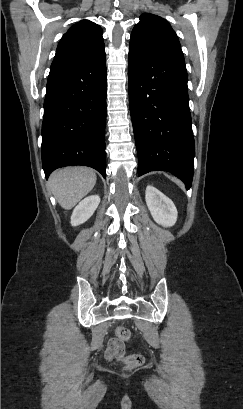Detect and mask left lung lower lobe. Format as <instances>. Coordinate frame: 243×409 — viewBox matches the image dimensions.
Listing matches in <instances>:
<instances>
[{
	"mask_svg": "<svg viewBox=\"0 0 243 409\" xmlns=\"http://www.w3.org/2000/svg\"><path fill=\"white\" fill-rule=\"evenodd\" d=\"M128 80L138 175L168 171L190 188L195 146L182 51L129 52Z\"/></svg>",
	"mask_w": 243,
	"mask_h": 409,
	"instance_id": "0a47b994",
	"label": "left lung lower lobe"
}]
</instances>
